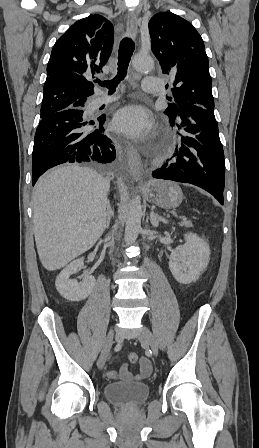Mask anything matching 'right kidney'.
I'll use <instances>...</instances> for the list:
<instances>
[{"mask_svg":"<svg viewBox=\"0 0 259 448\" xmlns=\"http://www.w3.org/2000/svg\"><path fill=\"white\" fill-rule=\"evenodd\" d=\"M81 266H84V258H79V260L71 262V264L66 266L56 278V290H58L59 294H61L65 300H70V302H80V300H85V298L90 296L95 286L96 280L94 276H86L85 280H82V282L69 280L71 274H75Z\"/></svg>","mask_w":259,"mask_h":448,"instance_id":"obj_1","label":"right kidney"}]
</instances>
